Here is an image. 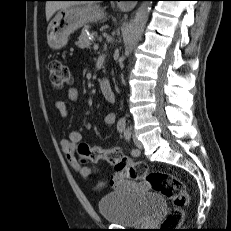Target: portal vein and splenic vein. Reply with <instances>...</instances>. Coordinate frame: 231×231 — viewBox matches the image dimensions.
<instances>
[{
    "label": "portal vein and splenic vein",
    "mask_w": 231,
    "mask_h": 231,
    "mask_svg": "<svg viewBox=\"0 0 231 231\" xmlns=\"http://www.w3.org/2000/svg\"><path fill=\"white\" fill-rule=\"evenodd\" d=\"M94 50H98L99 48V44L98 43H95L94 46H93Z\"/></svg>",
    "instance_id": "1"
}]
</instances>
